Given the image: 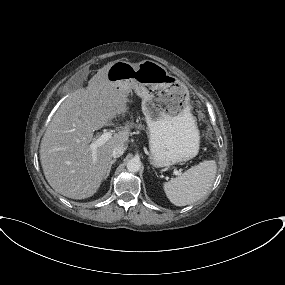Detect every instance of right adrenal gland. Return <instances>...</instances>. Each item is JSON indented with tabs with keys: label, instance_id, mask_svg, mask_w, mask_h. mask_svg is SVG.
I'll use <instances>...</instances> for the list:
<instances>
[{
	"label": "right adrenal gland",
	"instance_id": "1",
	"mask_svg": "<svg viewBox=\"0 0 285 285\" xmlns=\"http://www.w3.org/2000/svg\"><path fill=\"white\" fill-rule=\"evenodd\" d=\"M115 162H116V159H113V160L110 162V164H109V166H108V168H107V170H106V172H105L104 179H106V178L109 176L110 171H111V167H112V165H113Z\"/></svg>",
	"mask_w": 285,
	"mask_h": 285
}]
</instances>
